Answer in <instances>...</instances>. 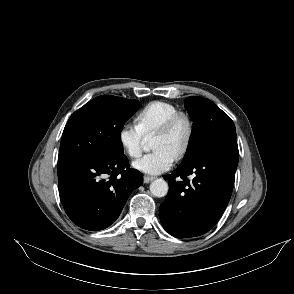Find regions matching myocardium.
Here are the masks:
<instances>
[{
    "label": "myocardium",
    "mask_w": 294,
    "mask_h": 294,
    "mask_svg": "<svg viewBox=\"0 0 294 294\" xmlns=\"http://www.w3.org/2000/svg\"><path fill=\"white\" fill-rule=\"evenodd\" d=\"M184 123L186 126L185 139L176 153V158L184 157L189 151L195 133V126L192 118L185 113H177L166 120L154 133V135H166L171 133L178 124Z\"/></svg>",
    "instance_id": "1"
}]
</instances>
